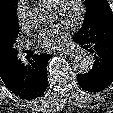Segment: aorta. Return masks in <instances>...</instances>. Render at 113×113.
I'll return each mask as SVG.
<instances>
[{
  "label": "aorta",
  "instance_id": "aorta-1",
  "mask_svg": "<svg viewBox=\"0 0 113 113\" xmlns=\"http://www.w3.org/2000/svg\"><path fill=\"white\" fill-rule=\"evenodd\" d=\"M38 22L45 24L49 21L50 15L45 9L38 7L32 11ZM94 64V57L91 54H78L73 60V68L80 74L88 73Z\"/></svg>",
  "mask_w": 113,
  "mask_h": 113
}]
</instances>
